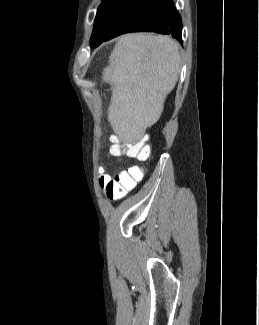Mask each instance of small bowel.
<instances>
[{"label": "small bowel", "mask_w": 259, "mask_h": 325, "mask_svg": "<svg viewBox=\"0 0 259 325\" xmlns=\"http://www.w3.org/2000/svg\"><path fill=\"white\" fill-rule=\"evenodd\" d=\"M131 168H141L139 166H133ZM99 174H100V184L103 185L109 178L110 176L105 173L103 167H99Z\"/></svg>", "instance_id": "small-bowel-1"}]
</instances>
